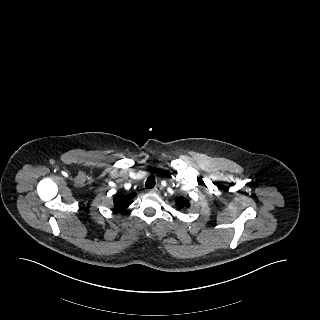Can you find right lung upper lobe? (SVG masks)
I'll use <instances>...</instances> for the list:
<instances>
[{
  "instance_id": "obj_1",
  "label": "right lung upper lobe",
  "mask_w": 320,
  "mask_h": 320,
  "mask_svg": "<svg viewBox=\"0 0 320 320\" xmlns=\"http://www.w3.org/2000/svg\"><path fill=\"white\" fill-rule=\"evenodd\" d=\"M136 196V193H130V194H127V195H123V194H115L114 195V198H113V201H114V208L113 210L114 211H120L122 210L123 208H126L128 206V203L133 199L135 198Z\"/></svg>"
}]
</instances>
